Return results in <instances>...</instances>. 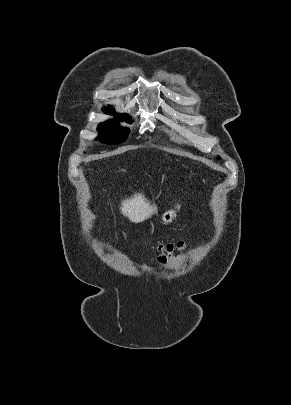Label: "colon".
I'll use <instances>...</instances> for the list:
<instances>
[{
    "label": "colon",
    "mask_w": 291,
    "mask_h": 405,
    "mask_svg": "<svg viewBox=\"0 0 291 405\" xmlns=\"http://www.w3.org/2000/svg\"><path fill=\"white\" fill-rule=\"evenodd\" d=\"M183 247L184 243L181 241L161 244L158 248L159 254L156 259L161 264L169 263Z\"/></svg>",
    "instance_id": "1"
}]
</instances>
